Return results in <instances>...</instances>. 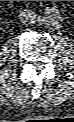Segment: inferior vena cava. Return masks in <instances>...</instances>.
I'll use <instances>...</instances> for the list:
<instances>
[{
	"label": "inferior vena cava",
	"instance_id": "obj_1",
	"mask_svg": "<svg viewBox=\"0 0 74 122\" xmlns=\"http://www.w3.org/2000/svg\"><path fill=\"white\" fill-rule=\"evenodd\" d=\"M34 13L31 12L30 10H23L20 13V20L22 23H27L30 19V16H32Z\"/></svg>",
	"mask_w": 74,
	"mask_h": 122
}]
</instances>
